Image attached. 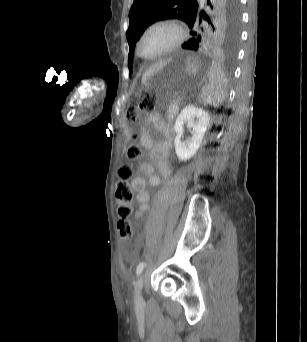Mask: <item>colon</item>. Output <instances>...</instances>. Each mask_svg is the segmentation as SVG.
Masks as SVG:
<instances>
[{
  "label": "colon",
  "mask_w": 307,
  "mask_h": 342,
  "mask_svg": "<svg viewBox=\"0 0 307 342\" xmlns=\"http://www.w3.org/2000/svg\"><path fill=\"white\" fill-rule=\"evenodd\" d=\"M148 100L133 101L127 110L126 118L133 122L137 117L149 110ZM143 156V149L137 144H131L125 151V157L130 161H138ZM134 176V169L131 164H124L119 167L118 181L116 183L115 197L119 202L117 212L120 219L117 223L119 237L123 242L130 241L133 232V225L129 219L132 213L131 202L133 191L128 181Z\"/></svg>",
  "instance_id": "1"
}]
</instances>
